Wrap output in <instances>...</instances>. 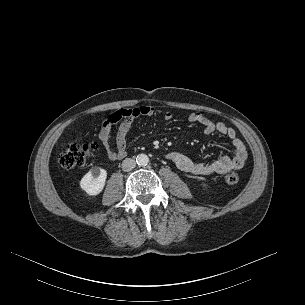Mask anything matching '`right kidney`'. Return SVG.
Returning <instances> with one entry per match:
<instances>
[{
    "label": "right kidney",
    "instance_id": "1",
    "mask_svg": "<svg viewBox=\"0 0 305 305\" xmlns=\"http://www.w3.org/2000/svg\"><path fill=\"white\" fill-rule=\"evenodd\" d=\"M107 178L106 170L92 167L80 181V188L89 196H96L102 192Z\"/></svg>",
    "mask_w": 305,
    "mask_h": 305
}]
</instances>
